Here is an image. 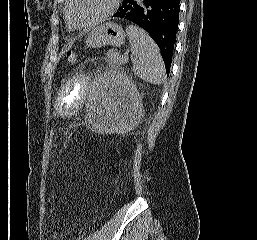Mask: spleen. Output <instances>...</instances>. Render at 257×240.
<instances>
[{
	"label": "spleen",
	"mask_w": 257,
	"mask_h": 240,
	"mask_svg": "<svg viewBox=\"0 0 257 240\" xmlns=\"http://www.w3.org/2000/svg\"><path fill=\"white\" fill-rule=\"evenodd\" d=\"M126 32L131 44L134 74L151 84H161L165 81V67L158 46L142 29L130 25Z\"/></svg>",
	"instance_id": "obj_1"
}]
</instances>
